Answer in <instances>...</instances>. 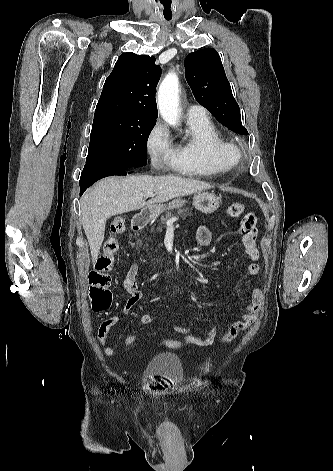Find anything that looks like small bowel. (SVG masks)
I'll return each mask as SVG.
<instances>
[{"instance_id":"c3829d8e","label":"small bowel","mask_w":333,"mask_h":471,"mask_svg":"<svg viewBox=\"0 0 333 471\" xmlns=\"http://www.w3.org/2000/svg\"><path fill=\"white\" fill-rule=\"evenodd\" d=\"M239 231L242 234V243L245 252L249 259L252 261L247 267V273L249 276H256L260 272V266L256 263L259 260L260 253L256 246V225L255 217L252 214L244 216L240 223ZM196 241L200 246H207L211 242V232L206 226L198 227L196 231ZM138 273V265L133 263L124 279L123 287L129 293L130 297L126 301L123 307V314H127L131 309L139 302L142 297V293L137 286L136 276ZM264 301V291L260 288L253 287L251 289L250 301L245 307V311L242 317L233 322L228 330L220 337L221 342H230L235 339L239 333L246 330L252 325L257 319L258 314L262 308ZM118 322L117 316H112L104 320L97 331V338L101 344H105L109 330ZM153 322V317L150 314H143L140 318L142 325H149ZM173 331L183 335L182 342L187 345H193L197 347H208L212 345L217 337L218 330L215 327L210 328L205 337L199 338L190 334V328L182 324H175ZM115 347L108 346L104 349L107 356H112L116 353Z\"/></svg>"}]
</instances>
